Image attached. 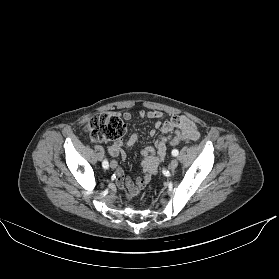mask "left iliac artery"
Instances as JSON below:
<instances>
[{
    "mask_svg": "<svg viewBox=\"0 0 279 279\" xmlns=\"http://www.w3.org/2000/svg\"><path fill=\"white\" fill-rule=\"evenodd\" d=\"M179 154V151L177 149L172 150V155L177 156Z\"/></svg>",
    "mask_w": 279,
    "mask_h": 279,
    "instance_id": "obj_1",
    "label": "left iliac artery"
}]
</instances>
